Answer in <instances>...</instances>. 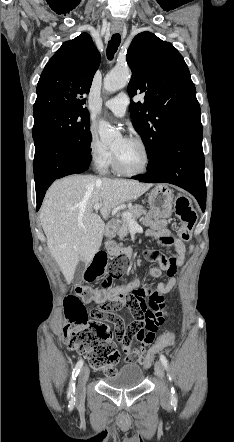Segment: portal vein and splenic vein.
I'll return each instance as SVG.
<instances>
[{
  "mask_svg": "<svg viewBox=\"0 0 234 442\" xmlns=\"http://www.w3.org/2000/svg\"><path fill=\"white\" fill-rule=\"evenodd\" d=\"M101 204L100 203H95L93 208L95 211H98L100 209ZM122 218L128 220V222L130 224L134 223L135 221L131 218V214H129L128 212H123L122 213Z\"/></svg>",
  "mask_w": 234,
  "mask_h": 442,
  "instance_id": "18ae733b",
  "label": "portal vein and splenic vein"
}]
</instances>
